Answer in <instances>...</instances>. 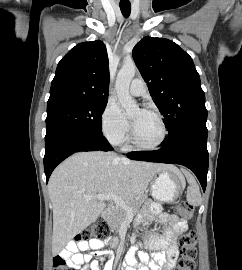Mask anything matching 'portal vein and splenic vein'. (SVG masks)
<instances>
[{
    "instance_id": "1",
    "label": "portal vein and splenic vein",
    "mask_w": 242,
    "mask_h": 270,
    "mask_svg": "<svg viewBox=\"0 0 242 270\" xmlns=\"http://www.w3.org/2000/svg\"><path fill=\"white\" fill-rule=\"evenodd\" d=\"M87 200H91V199H98V200H112L114 201V203L123 208L128 215H133V210L132 208L128 205L127 202H125L122 198L118 197L115 194H108V193H104V194H97V195H85L84 196Z\"/></svg>"
}]
</instances>
